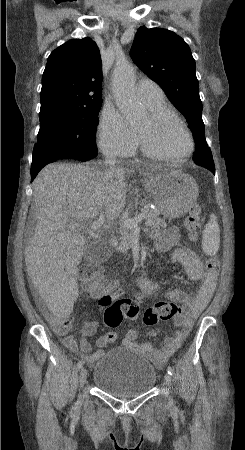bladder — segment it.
I'll return each instance as SVG.
<instances>
[{"mask_svg":"<svg viewBox=\"0 0 245 450\" xmlns=\"http://www.w3.org/2000/svg\"><path fill=\"white\" fill-rule=\"evenodd\" d=\"M156 368L141 353L115 347L93 367L92 384L117 398H131L148 392L156 383Z\"/></svg>","mask_w":245,"mask_h":450,"instance_id":"bladder-1","label":"bladder"}]
</instances>
